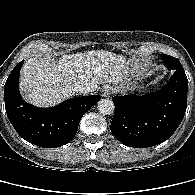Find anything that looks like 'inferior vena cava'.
<instances>
[{"label": "inferior vena cava", "mask_w": 195, "mask_h": 195, "mask_svg": "<svg viewBox=\"0 0 195 195\" xmlns=\"http://www.w3.org/2000/svg\"><path fill=\"white\" fill-rule=\"evenodd\" d=\"M76 92L87 94L94 91V88L90 84H81L74 88Z\"/></svg>", "instance_id": "1"}]
</instances>
